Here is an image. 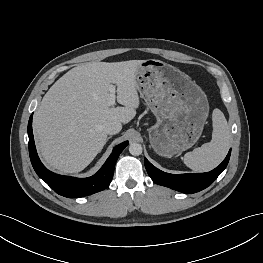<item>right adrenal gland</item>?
Instances as JSON below:
<instances>
[{
	"label": "right adrenal gland",
	"instance_id": "obj_1",
	"mask_svg": "<svg viewBox=\"0 0 263 263\" xmlns=\"http://www.w3.org/2000/svg\"><path fill=\"white\" fill-rule=\"evenodd\" d=\"M111 137H112V136L107 137L106 142H108V140H109ZM106 142H105V144H106Z\"/></svg>",
	"mask_w": 263,
	"mask_h": 263
}]
</instances>
